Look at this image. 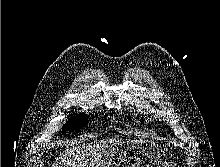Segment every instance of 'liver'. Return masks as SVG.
<instances>
[{
  "mask_svg": "<svg viewBox=\"0 0 220 167\" xmlns=\"http://www.w3.org/2000/svg\"><path fill=\"white\" fill-rule=\"evenodd\" d=\"M130 142L137 141L127 143ZM123 144L125 142L119 139L101 140L86 146L69 144L53 163V167H110L116 151Z\"/></svg>",
  "mask_w": 220,
  "mask_h": 167,
  "instance_id": "obj_1",
  "label": "liver"
}]
</instances>
